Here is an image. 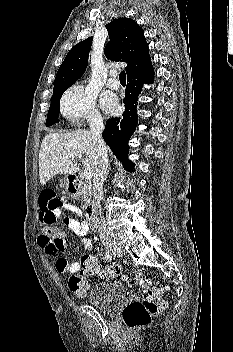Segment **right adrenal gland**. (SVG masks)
Wrapping results in <instances>:
<instances>
[{"instance_id":"2a0ac1e0","label":"right adrenal gland","mask_w":233,"mask_h":352,"mask_svg":"<svg viewBox=\"0 0 233 352\" xmlns=\"http://www.w3.org/2000/svg\"><path fill=\"white\" fill-rule=\"evenodd\" d=\"M109 167H108V169H107V172H106V176H105V181L107 180V177H108V174H109Z\"/></svg>"}]
</instances>
